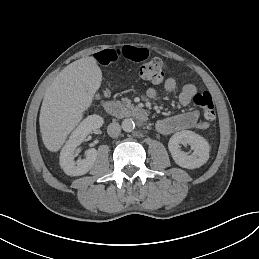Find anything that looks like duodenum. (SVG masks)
Listing matches in <instances>:
<instances>
[{"mask_svg":"<svg viewBox=\"0 0 259 259\" xmlns=\"http://www.w3.org/2000/svg\"><path fill=\"white\" fill-rule=\"evenodd\" d=\"M101 105L108 114L115 117H130L141 123L146 122L148 119V116L144 111L126 107L117 101L103 100Z\"/></svg>","mask_w":259,"mask_h":259,"instance_id":"obj_1","label":"duodenum"}]
</instances>
